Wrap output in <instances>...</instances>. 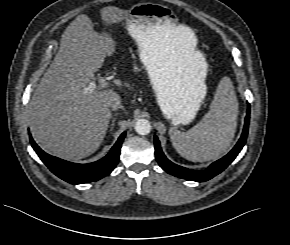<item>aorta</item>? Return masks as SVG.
Listing matches in <instances>:
<instances>
[{
	"mask_svg": "<svg viewBox=\"0 0 290 245\" xmlns=\"http://www.w3.org/2000/svg\"><path fill=\"white\" fill-rule=\"evenodd\" d=\"M134 129L139 135H147L151 131V124L146 119H139L136 122Z\"/></svg>",
	"mask_w": 290,
	"mask_h": 245,
	"instance_id": "1",
	"label": "aorta"
}]
</instances>
